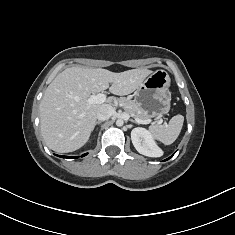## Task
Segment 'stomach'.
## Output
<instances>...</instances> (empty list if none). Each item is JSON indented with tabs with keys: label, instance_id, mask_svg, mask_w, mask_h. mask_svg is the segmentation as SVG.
<instances>
[{
	"label": "stomach",
	"instance_id": "0dacf381",
	"mask_svg": "<svg viewBox=\"0 0 235 235\" xmlns=\"http://www.w3.org/2000/svg\"><path fill=\"white\" fill-rule=\"evenodd\" d=\"M170 77L165 70H156L135 91V101L150 115L160 117L170 110Z\"/></svg>",
	"mask_w": 235,
	"mask_h": 235
}]
</instances>
